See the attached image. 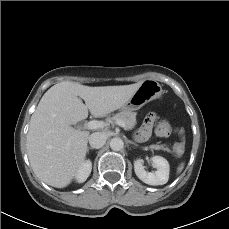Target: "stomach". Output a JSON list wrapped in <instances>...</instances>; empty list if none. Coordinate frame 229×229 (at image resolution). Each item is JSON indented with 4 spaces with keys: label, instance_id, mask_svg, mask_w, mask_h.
Listing matches in <instances>:
<instances>
[{
    "label": "stomach",
    "instance_id": "stomach-1",
    "mask_svg": "<svg viewBox=\"0 0 229 229\" xmlns=\"http://www.w3.org/2000/svg\"><path fill=\"white\" fill-rule=\"evenodd\" d=\"M163 93L162 86L153 79L142 81L141 85L129 101L122 106L124 111H135L140 109L146 103L160 98Z\"/></svg>",
    "mask_w": 229,
    "mask_h": 229
}]
</instances>
